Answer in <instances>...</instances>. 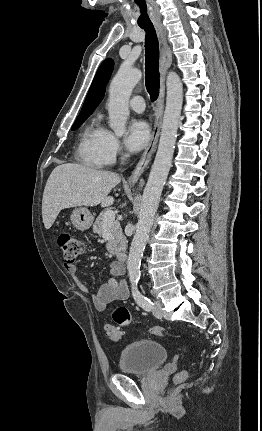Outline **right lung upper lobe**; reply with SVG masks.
<instances>
[{
	"mask_svg": "<svg viewBox=\"0 0 262 431\" xmlns=\"http://www.w3.org/2000/svg\"><path fill=\"white\" fill-rule=\"evenodd\" d=\"M113 70V61L105 60L99 67L78 117L89 116L103 99L106 84Z\"/></svg>",
	"mask_w": 262,
	"mask_h": 431,
	"instance_id": "obj_1",
	"label": "right lung upper lobe"
}]
</instances>
